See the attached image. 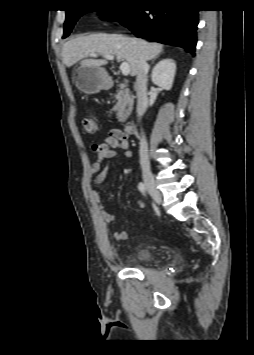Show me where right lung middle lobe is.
Instances as JSON below:
<instances>
[{
	"instance_id": "1",
	"label": "right lung middle lobe",
	"mask_w": 254,
	"mask_h": 355,
	"mask_svg": "<svg viewBox=\"0 0 254 355\" xmlns=\"http://www.w3.org/2000/svg\"><path fill=\"white\" fill-rule=\"evenodd\" d=\"M131 1H136V0H131ZM132 7L133 6L129 3L124 8H117L112 10H74V11L67 10L66 21L64 24L63 38H66L70 34L78 18L87 12L99 11L102 13L103 16H105L103 18L109 19L111 21L114 20L118 21L121 18L125 17L131 11Z\"/></svg>"
}]
</instances>
